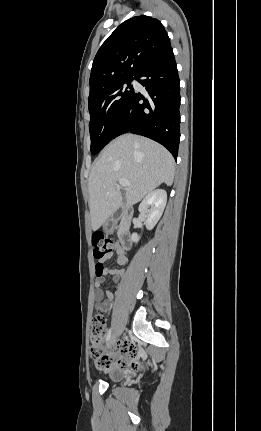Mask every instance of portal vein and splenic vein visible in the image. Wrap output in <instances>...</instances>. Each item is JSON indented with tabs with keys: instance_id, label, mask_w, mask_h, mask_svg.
<instances>
[{
	"instance_id": "18ae733b",
	"label": "portal vein and splenic vein",
	"mask_w": 261,
	"mask_h": 431,
	"mask_svg": "<svg viewBox=\"0 0 261 431\" xmlns=\"http://www.w3.org/2000/svg\"><path fill=\"white\" fill-rule=\"evenodd\" d=\"M118 182H119L120 186H122V187L130 186V182L127 179H119Z\"/></svg>"
}]
</instances>
